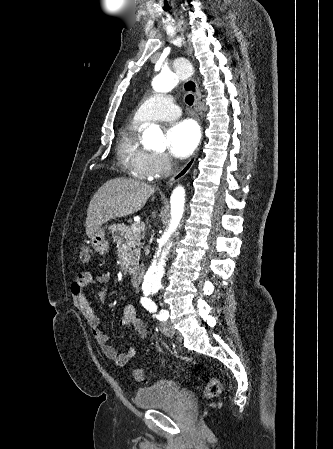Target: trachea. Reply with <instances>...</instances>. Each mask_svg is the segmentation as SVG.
<instances>
[{
    "label": "trachea",
    "mask_w": 333,
    "mask_h": 449,
    "mask_svg": "<svg viewBox=\"0 0 333 449\" xmlns=\"http://www.w3.org/2000/svg\"><path fill=\"white\" fill-rule=\"evenodd\" d=\"M185 101H186V103H187L188 105H192L193 102H194V97H193V95H191V94L187 95L186 98H185Z\"/></svg>",
    "instance_id": "obj_1"
}]
</instances>
